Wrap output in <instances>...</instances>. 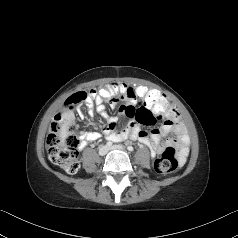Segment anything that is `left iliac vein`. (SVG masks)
<instances>
[{
  "label": "left iliac vein",
  "instance_id": "obj_1",
  "mask_svg": "<svg viewBox=\"0 0 238 238\" xmlns=\"http://www.w3.org/2000/svg\"><path fill=\"white\" fill-rule=\"evenodd\" d=\"M108 150H121V151H125V148L121 145H113L110 148H108Z\"/></svg>",
  "mask_w": 238,
  "mask_h": 238
}]
</instances>
